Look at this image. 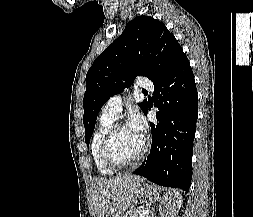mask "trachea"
<instances>
[{"instance_id":"3493384b","label":"trachea","mask_w":253,"mask_h":217,"mask_svg":"<svg viewBox=\"0 0 253 217\" xmlns=\"http://www.w3.org/2000/svg\"><path fill=\"white\" fill-rule=\"evenodd\" d=\"M144 94H147V91H143Z\"/></svg>"}]
</instances>
